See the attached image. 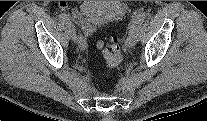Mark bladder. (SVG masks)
I'll use <instances>...</instances> for the list:
<instances>
[{
    "instance_id": "31cf9c89",
    "label": "bladder",
    "mask_w": 207,
    "mask_h": 121,
    "mask_svg": "<svg viewBox=\"0 0 207 121\" xmlns=\"http://www.w3.org/2000/svg\"><path fill=\"white\" fill-rule=\"evenodd\" d=\"M126 9L121 1H83L80 6L83 19L92 27L120 20Z\"/></svg>"
}]
</instances>
